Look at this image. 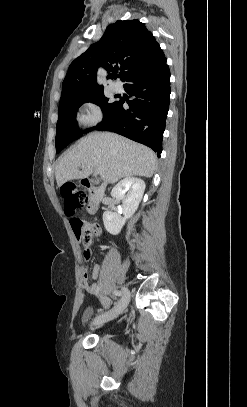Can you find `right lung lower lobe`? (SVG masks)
<instances>
[{
	"label": "right lung lower lobe",
	"instance_id": "1",
	"mask_svg": "<svg viewBox=\"0 0 247 407\" xmlns=\"http://www.w3.org/2000/svg\"><path fill=\"white\" fill-rule=\"evenodd\" d=\"M167 59L133 72L124 89L136 98L124 109L120 98L112 112L97 126L101 131H112L142 143L160 157L162 137L170 100V70Z\"/></svg>",
	"mask_w": 247,
	"mask_h": 407
}]
</instances>
